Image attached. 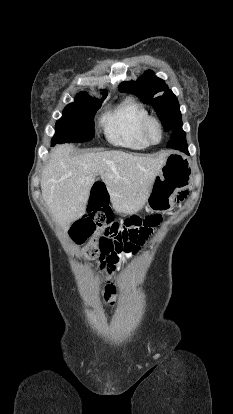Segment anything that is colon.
<instances>
[{
  "label": "colon",
  "instance_id": "5ec220e1",
  "mask_svg": "<svg viewBox=\"0 0 233 414\" xmlns=\"http://www.w3.org/2000/svg\"><path fill=\"white\" fill-rule=\"evenodd\" d=\"M184 196L185 193L182 192L176 200H182ZM159 220L158 215H148L144 218L133 215L126 219L123 224H119L112 222L111 212L106 209L99 212H88L73 225L71 232L77 242H82L92 234L95 235V239L87 244L84 249L85 259L90 261L98 259L101 252L108 250L135 254L147 237L146 229L148 226L157 224ZM100 293L105 305L112 306L114 304L117 292L109 294L104 285L101 287Z\"/></svg>",
  "mask_w": 233,
  "mask_h": 414
}]
</instances>
